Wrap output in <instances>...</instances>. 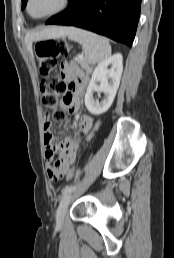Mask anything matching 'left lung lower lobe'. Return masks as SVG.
<instances>
[{
    "label": "left lung lower lobe",
    "instance_id": "obj_1",
    "mask_svg": "<svg viewBox=\"0 0 174 258\" xmlns=\"http://www.w3.org/2000/svg\"><path fill=\"white\" fill-rule=\"evenodd\" d=\"M142 0H70L68 8L45 24L76 26L131 47Z\"/></svg>",
    "mask_w": 174,
    "mask_h": 258
}]
</instances>
